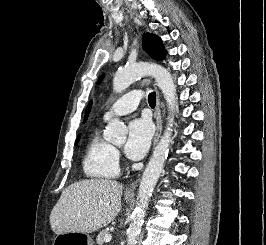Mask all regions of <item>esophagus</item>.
I'll return each instance as SVG.
<instances>
[{"label": "esophagus", "instance_id": "34e87169", "mask_svg": "<svg viewBox=\"0 0 266 245\" xmlns=\"http://www.w3.org/2000/svg\"><path fill=\"white\" fill-rule=\"evenodd\" d=\"M155 120H156V133H155V137H154V141H153V147H155V145L157 144L161 132H162V117H161V109H160V96H159V92L157 91V103H156V109H155ZM139 181V177L135 180V182L131 183V185H129V187L126 188L125 190V194L126 195H134L135 193V189L137 186V183Z\"/></svg>", "mask_w": 266, "mask_h": 245}]
</instances>
